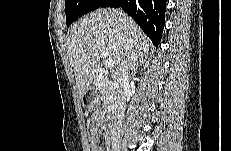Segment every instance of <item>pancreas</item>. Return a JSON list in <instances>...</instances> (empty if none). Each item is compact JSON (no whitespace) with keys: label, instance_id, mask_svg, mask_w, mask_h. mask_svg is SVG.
<instances>
[{"label":"pancreas","instance_id":"1","mask_svg":"<svg viewBox=\"0 0 231 151\" xmlns=\"http://www.w3.org/2000/svg\"><path fill=\"white\" fill-rule=\"evenodd\" d=\"M96 85L102 94L103 105L108 109L114 100L115 85L112 80L107 78L105 73L98 78Z\"/></svg>","mask_w":231,"mask_h":151}]
</instances>
